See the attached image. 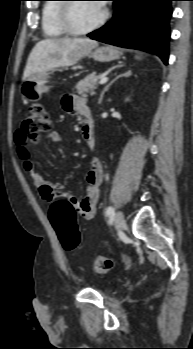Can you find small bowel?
Here are the masks:
<instances>
[{
    "instance_id": "1",
    "label": "small bowel",
    "mask_w": 193,
    "mask_h": 349,
    "mask_svg": "<svg viewBox=\"0 0 193 349\" xmlns=\"http://www.w3.org/2000/svg\"><path fill=\"white\" fill-rule=\"evenodd\" d=\"M61 105L64 111L71 114H79L84 117V124L81 129L82 138L86 145L93 149L95 139L93 133V125L90 111L83 97L74 94H67L62 97ZM90 116V121L87 120ZM50 138L56 142H61V137L57 133H52ZM16 151L22 161L25 171L31 177L34 185L38 188L41 197L49 204L56 200L64 199L73 204L77 214L84 220H91L96 213V205L99 198V188L103 177L102 163L98 157H93L90 161V167L86 174V195L83 199L64 192L63 185L60 183L52 184L46 181L36 170L31 159L28 140L26 139L22 129L15 133ZM127 267L130 266L128 259L124 260Z\"/></svg>"
}]
</instances>
